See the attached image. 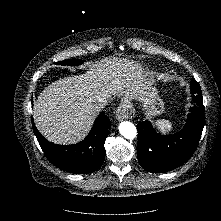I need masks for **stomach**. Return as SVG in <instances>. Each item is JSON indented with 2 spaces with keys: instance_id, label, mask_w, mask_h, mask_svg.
<instances>
[{
  "instance_id": "obj_1",
  "label": "stomach",
  "mask_w": 221,
  "mask_h": 221,
  "mask_svg": "<svg viewBox=\"0 0 221 221\" xmlns=\"http://www.w3.org/2000/svg\"><path fill=\"white\" fill-rule=\"evenodd\" d=\"M147 93V90L140 89L135 95H146ZM149 97L148 115L155 116L161 114L164 110L163 102L154 92L150 93Z\"/></svg>"
}]
</instances>
